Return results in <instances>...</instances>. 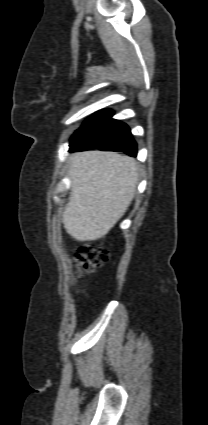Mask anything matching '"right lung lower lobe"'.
<instances>
[{
	"mask_svg": "<svg viewBox=\"0 0 208 425\" xmlns=\"http://www.w3.org/2000/svg\"><path fill=\"white\" fill-rule=\"evenodd\" d=\"M110 110L100 111L89 118L70 140L69 152L86 149L125 152L136 157L137 147L129 127L115 119Z\"/></svg>",
	"mask_w": 208,
	"mask_h": 425,
	"instance_id": "obj_1",
	"label": "right lung lower lobe"
}]
</instances>
